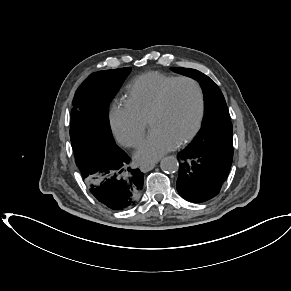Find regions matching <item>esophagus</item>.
<instances>
[{
	"mask_svg": "<svg viewBox=\"0 0 291 291\" xmlns=\"http://www.w3.org/2000/svg\"><path fill=\"white\" fill-rule=\"evenodd\" d=\"M157 163L158 161L149 164H144L140 167V169L141 171H150L156 166Z\"/></svg>",
	"mask_w": 291,
	"mask_h": 291,
	"instance_id": "1",
	"label": "esophagus"
}]
</instances>
